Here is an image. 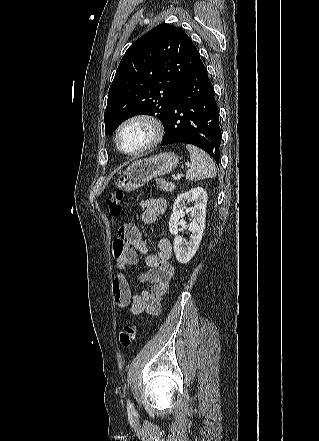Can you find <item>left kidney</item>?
Listing matches in <instances>:
<instances>
[{"instance_id": "5707ae66", "label": "left kidney", "mask_w": 319, "mask_h": 441, "mask_svg": "<svg viewBox=\"0 0 319 441\" xmlns=\"http://www.w3.org/2000/svg\"><path fill=\"white\" fill-rule=\"evenodd\" d=\"M189 202H192L193 205L186 208ZM206 204L207 192L201 187L182 193L175 200L169 220V230L171 234L175 235L174 253L176 259L182 264L188 263L199 248L205 227ZM185 211L189 212L191 216L188 224L183 219ZM180 225L191 232L188 242L178 235Z\"/></svg>"}]
</instances>
